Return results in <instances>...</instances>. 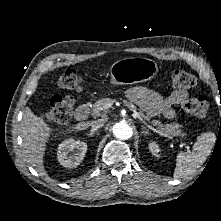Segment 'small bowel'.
<instances>
[{
	"label": "small bowel",
	"mask_w": 221,
	"mask_h": 221,
	"mask_svg": "<svg viewBox=\"0 0 221 221\" xmlns=\"http://www.w3.org/2000/svg\"><path fill=\"white\" fill-rule=\"evenodd\" d=\"M127 97L149 116L163 115L168 119H174L176 113L173 105H182L188 99V92L177 89L162 99L151 89L135 86L127 90Z\"/></svg>",
	"instance_id": "c3829d8e"
}]
</instances>
